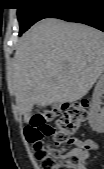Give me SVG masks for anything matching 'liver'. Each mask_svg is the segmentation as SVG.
Listing matches in <instances>:
<instances>
[{"label": "liver", "mask_w": 104, "mask_h": 169, "mask_svg": "<svg viewBox=\"0 0 104 169\" xmlns=\"http://www.w3.org/2000/svg\"><path fill=\"white\" fill-rule=\"evenodd\" d=\"M104 71V34L92 27L46 18L21 37L10 83L24 121L35 105L84 97Z\"/></svg>", "instance_id": "1"}]
</instances>
